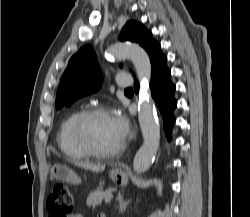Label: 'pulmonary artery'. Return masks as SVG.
Here are the masks:
<instances>
[{
    "label": "pulmonary artery",
    "instance_id": "e3ab8cb5",
    "mask_svg": "<svg viewBox=\"0 0 250 217\" xmlns=\"http://www.w3.org/2000/svg\"><path fill=\"white\" fill-rule=\"evenodd\" d=\"M116 83L121 88H128L132 84V80L127 74L120 73L116 77Z\"/></svg>",
    "mask_w": 250,
    "mask_h": 217
}]
</instances>
